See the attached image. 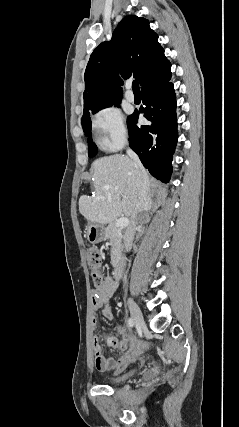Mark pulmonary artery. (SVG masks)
<instances>
[{
    "mask_svg": "<svg viewBox=\"0 0 239 427\" xmlns=\"http://www.w3.org/2000/svg\"><path fill=\"white\" fill-rule=\"evenodd\" d=\"M130 88H131V86L129 85L125 96H126L127 101L134 102L135 96H134V93L132 92V90Z\"/></svg>",
    "mask_w": 239,
    "mask_h": 427,
    "instance_id": "1",
    "label": "pulmonary artery"
}]
</instances>
